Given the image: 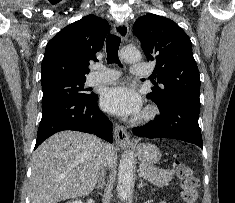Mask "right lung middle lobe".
Returning a JSON list of instances; mask_svg holds the SVG:
<instances>
[{"label":"right lung middle lobe","mask_w":235,"mask_h":203,"mask_svg":"<svg viewBox=\"0 0 235 203\" xmlns=\"http://www.w3.org/2000/svg\"><path fill=\"white\" fill-rule=\"evenodd\" d=\"M85 80L60 81L42 85V107L64 98H88L91 94L84 89Z\"/></svg>","instance_id":"1"}]
</instances>
